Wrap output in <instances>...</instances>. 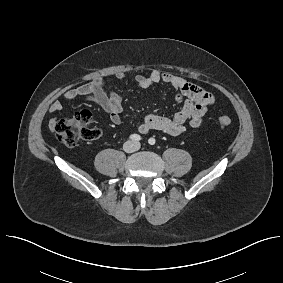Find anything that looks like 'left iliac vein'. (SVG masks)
Instances as JSON below:
<instances>
[{
  "label": "left iliac vein",
  "instance_id": "obj_1",
  "mask_svg": "<svg viewBox=\"0 0 283 283\" xmlns=\"http://www.w3.org/2000/svg\"><path fill=\"white\" fill-rule=\"evenodd\" d=\"M135 145H136V149L140 148V144L139 143H135Z\"/></svg>",
  "mask_w": 283,
  "mask_h": 283
}]
</instances>
